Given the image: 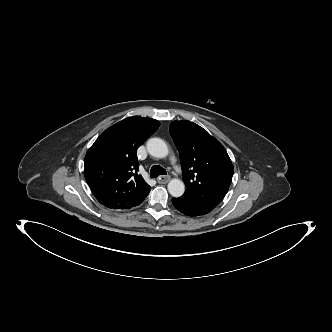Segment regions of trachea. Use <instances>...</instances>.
Masks as SVG:
<instances>
[{
  "label": "trachea",
  "instance_id": "3493384b",
  "mask_svg": "<svg viewBox=\"0 0 332 332\" xmlns=\"http://www.w3.org/2000/svg\"><path fill=\"white\" fill-rule=\"evenodd\" d=\"M166 174H167L166 170L163 167L159 166V165H153L151 167V170H150V177L151 178H156L159 175H166Z\"/></svg>",
  "mask_w": 332,
  "mask_h": 332
}]
</instances>
